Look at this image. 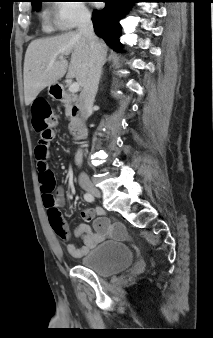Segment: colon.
Masks as SVG:
<instances>
[{"mask_svg": "<svg viewBox=\"0 0 213 338\" xmlns=\"http://www.w3.org/2000/svg\"><path fill=\"white\" fill-rule=\"evenodd\" d=\"M32 112V125L35 131L41 138L49 137L52 133L54 119L49 103L41 98L35 99L32 103ZM38 170L43 204L50 211V224L53 228L59 227L63 223V218L56 208L54 175L45 162L38 163Z\"/></svg>", "mask_w": 213, "mask_h": 338, "instance_id": "1", "label": "colon"}]
</instances>
